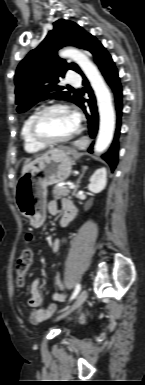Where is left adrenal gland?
<instances>
[{"label":"left adrenal gland","instance_id":"a2214340","mask_svg":"<svg viewBox=\"0 0 145 385\" xmlns=\"http://www.w3.org/2000/svg\"><path fill=\"white\" fill-rule=\"evenodd\" d=\"M87 169H88L87 166H83L82 167V174L80 175L79 179L76 182V187H75V189L73 191V194H72L73 196L76 194V191L79 188L80 181H81V179H82V177H83V175H84V173L86 172Z\"/></svg>","mask_w":145,"mask_h":385}]
</instances>
